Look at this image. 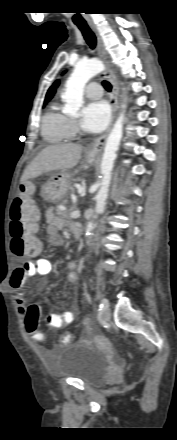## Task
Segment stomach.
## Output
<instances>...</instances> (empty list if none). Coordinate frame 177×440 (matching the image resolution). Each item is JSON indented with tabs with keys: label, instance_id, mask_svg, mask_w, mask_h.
I'll list each match as a JSON object with an SVG mask.
<instances>
[{
	"label": "stomach",
	"instance_id": "stomach-1",
	"mask_svg": "<svg viewBox=\"0 0 177 440\" xmlns=\"http://www.w3.org/2000/svg\"><path fill=\"white\" fill-rule=\"evenodd\" d=\"M97 157L85 156V166L91 165L96 162ZM72 176L67 171H61L53 175L47 183L42 186L41 194L47 202H58L63 199L71 185Z\"/></svg>",
	"mask_w": 177,
	"mask_h": 440
}]
</instances>
